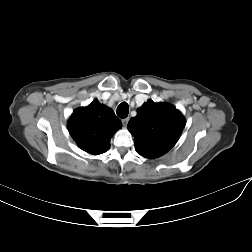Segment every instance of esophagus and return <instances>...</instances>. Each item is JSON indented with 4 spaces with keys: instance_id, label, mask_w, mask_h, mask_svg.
<instances>
[{
    "instance_id": "1",
    "label": "esophagus",
    "mask_w": 252,
    "mask_h": 252,
    "mask_svg": "<svg viewBox=\"0 0 252 252\" xmlns=\"http://www.w3.org/2000/svg\"><path fill=\"white\" fill-rule=\"evenodd\" d=\"M128 121H129V118H128V117H127V118L122 119V123H123V125H124V126H126V125L128 124Z\"/></svg>"
}]
</instances>
